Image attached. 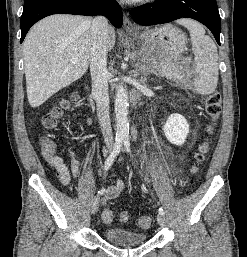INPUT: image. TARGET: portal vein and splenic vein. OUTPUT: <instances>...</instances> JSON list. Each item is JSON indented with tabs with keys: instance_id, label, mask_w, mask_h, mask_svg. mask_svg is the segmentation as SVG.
<instances>
[{
	"instance_id": "18ae733b",
	"label": "portal vein and splenic vein",
	"mask_w": 247,
	"mask_h": 257,
	"mask_svg": "<svg viewBox=\"0 0 247 257\" xmlns=\"http://www.w3.org/2000/svg\"><path fill=\"white\" fill-rule=\"evenodd\" d=\"M73 61L75 62V61H77V59H73Z\"/></svg>"
}]
</instances>
